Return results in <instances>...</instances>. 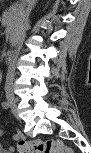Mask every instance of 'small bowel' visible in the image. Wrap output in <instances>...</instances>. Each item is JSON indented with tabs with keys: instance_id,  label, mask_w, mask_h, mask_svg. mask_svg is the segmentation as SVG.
Here are the masks:
<instances>
[{
	"instance_id": "1",
	"label": "small bowel",
	"mask_w": 91,
	"mask_h": 153,
	"mask_svg": "<svg viewBox=\"0 0 91 153\" xmlns=\"http://www.w3.org/2000/svg\"><path fill=\"white\" fill-rule=\"evenodd\" d=\"M3 134V133H1ZM14 139L15 140H18V139H22L21 136H14ZM0 150L4 153H12L14 152V148L13 147H9V148H4L2 145L0 146Z\"/></svg>"
}]
</instances>
